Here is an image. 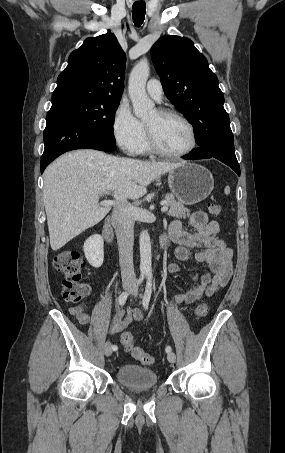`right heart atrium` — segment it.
<instances>
[{"label": "right heart atrium", "instance_id": "d8ad5b80", "mask_svg": "<svg viewBox=\"0 0 285 453\" xmlns=\"http://www.w3.org/2000/svg\"><path fill=\"white\" fill-rule=\"evenodd\" d=\"M112 133L118 146L125 153L134 155L139 152L145 129L129 106L120 104L113 117Z\"/></svg>", "mask_w": 285, "mask_h": 453}]
</instances>
